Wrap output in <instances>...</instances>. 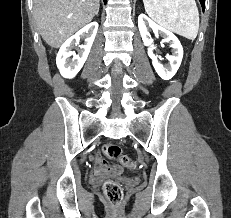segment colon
Instances as JSON below:
<instances>
[{
	"label": "colon",
	"mask_w": 231,
	"mask_h": 218,
	"mask_svg": "<svg viewBox=\"0 0 231 218\" xmlns=\"http://www.w3.org/2000/svg\"><path fill=\"white\" fill-rule=\"evenodd\" d=\"M104 154L119 163L123 166L133 169L135 167V163L123 154L120 146L116 144H105L102 148ZM104 194L112 206H118L123 198V190L121 186L115 181L108 180L104 183L103 186Z\"/></svg>",
	"instance_id": "1"
}]
</instances>
